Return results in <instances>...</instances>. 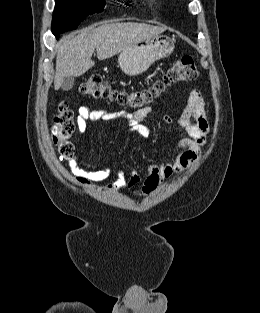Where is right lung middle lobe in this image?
<instances>
[{"mask_svg": "<svg viewBox=\"0 0 260 313\" xmlns=\"http://www.w3.org/2000/svg\"><path fill=\"white\" fill-rule=\"evenodd\" d=\"M105 4L104 0H56L52 33L59 38L60 33L76 29L85 17L101 12Z\"/></svg>", "mask_w": 260, "mask_h": 313, "instance_id": "obj_1", "label": "right lung middle lobe"}]
</instances>
